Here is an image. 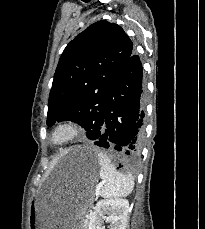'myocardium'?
<instances>
[{
	"instance_id": "1",
	"label": "myocardium",
	"mask_w": 205,
	"mask_h": 229,
	"mask_svg": "<svg viewBox=\"0 0 205 229\" xmlns=\"http://www.w3.org/2000/svg\"><path fill=\"white\" fill-rule=\"evenodd\" d=\"M81 132V126L73 121L66 120L57 123L49 135V144L54 147L66 145L75 140Z\"/></svg>"
}]
</instances>
